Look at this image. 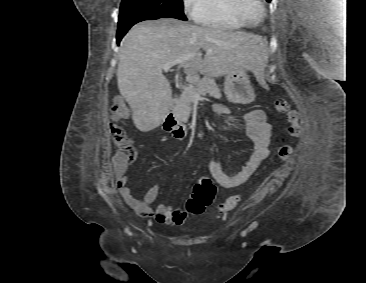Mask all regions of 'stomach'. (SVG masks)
<instances>
[{"label":"stomach","mask_w":366,"mask_h":283,"mask_svg":"<svg viewBox=\"0 0 366 283\" xmlns=\"http://www.w3.org/2000/svg\"><path fill=\"white\" fill-rule=\"evenodd\" d=\"M241 88L252 90L249 77L245 70H232L226 74L224 93L226 98L232 102H238V93Z\"/></svg>","instance_id":"obj_1"}]
</instances>
